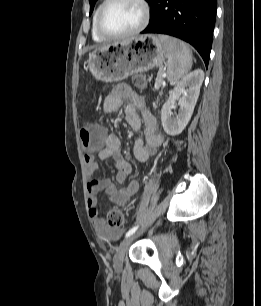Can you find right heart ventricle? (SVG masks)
<instances>
[{
	"label": "right heart ventricle",
	"instance_id": "e07e8e85",
	"mask_svg": "<svg viewBox=\"0 0 261 306\" xmlns=\"http://www.w3.org/2000/svg\"><path fill=\"white\" fill-rule=\"evenodd\" d=\"M105 2H102L98 7L97 9L95 10L94 12V15H93V21H92V29H91V33H92V38L94 41L96 42H103L105 41L106 39L101 37L97 30H96V18H97V15H98V12L100 10V8L102 7V5L104 4Z\"/></svg>",
	"mask_w": 261,
	"mask_h": 306
}]
</instances>
